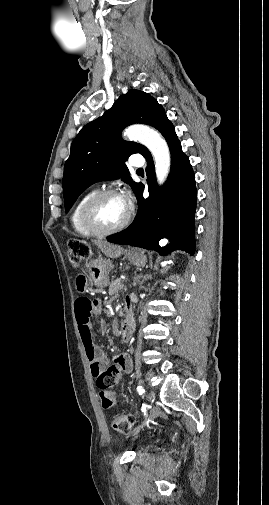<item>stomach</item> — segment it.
<instances>
[{"mask_svg": "<svg viewBox=\"0 0 269 505\" xmlns=\"http://www.w3.org/2000/svg\"><path fill=\"white\" fill-rule=\"evenodd\" d=\"M125 257L136 266H143L147 261L144 252L137 249L128 251ZM112 268L113 264L110 260L100 258L91 261L88 266L89 280L91 284L99 289H103L109 285V274Z\"/></svg>", "mask_w": 269, "mask_h": 505, "instance_id": "obj_1", "label": "stomach"}]
</instances>
